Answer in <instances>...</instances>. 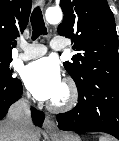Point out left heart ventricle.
Listing matches in <instances>:
<instances>
[{
    "label": "left heart ventricle",
    "instance_id": "left-heart-ventricle-1",
    "mask_svg": "<svg viewBox=\"0 0 119 141\" xmlns=\"http://www.w3.org/2000/svg\"><path fill=\"white\" fill-rule=\"evenodd\" d=\"M64 95H65V91H64V88L62 86L61 90L59 91V93L56 95V97L52 101L62 100Z\"/></svg>",
    "mask_w": 119,
    "mask_h": 141
}]
</instances>
